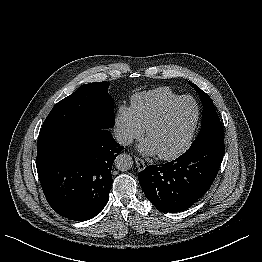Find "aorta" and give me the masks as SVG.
Returning a JSON list of instances; mask_svg holds the SVG:
<instances>
[{"mask_svg": "<svg viewBox=\"0 0 262 262\" xmlns=\"http://www.w3.org/2000/svg\"><path fill=\"white\" fill-rule=\"evenodd\" d=\"M115 166L120 171H127L133 166V159L128 154H120L115 159Z\"/></svg>", "mask_w": 262, "mask_h": 262, "instance_id": "762f6f07", "label": "aorta"}]
</instances>
